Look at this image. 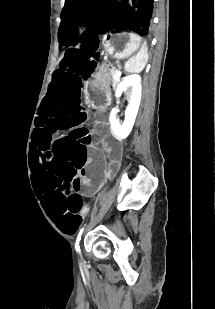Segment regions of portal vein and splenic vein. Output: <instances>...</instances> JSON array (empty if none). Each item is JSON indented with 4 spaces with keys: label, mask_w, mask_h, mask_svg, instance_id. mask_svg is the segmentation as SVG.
<instances>
[{
    "label": "portal vein and splenic vein",
    "mask_w": 215,
    "mask_h": 309,
    "mask_svg": "<svg viewBox=\"0 0 215 309\" xmlns=\"http://www.w3.org/2000/svg\"><path fill=\"white\" fill-rule=\"evenodd\" d=\"M116 74H117V76H120V74H121L120 70H116Z\"/></svg>",
    "instance_id": "obj_1"
}]
</instances>
